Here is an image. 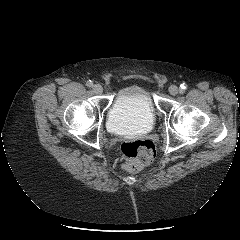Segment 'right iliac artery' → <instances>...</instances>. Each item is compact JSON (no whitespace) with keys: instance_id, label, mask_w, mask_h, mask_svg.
Listing matches in <instances>:
<instances>
[{"instance_id":"right-iliac-artery-1","label":"right iliac artery","mask_w":240,"mask_h":240,"mask_svg":"<svg viewBox=\"0 0 240 240\" xmlns=\"http://www.w3.org/2000/svg\"><path fill=\"white\" fill-rule=\"evenodd\" d=\"M86 85H87L88 87H92V86H93V83H92L91 81H87Z\"/></svg>"}]
</instances>
